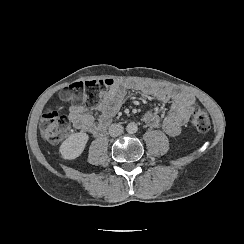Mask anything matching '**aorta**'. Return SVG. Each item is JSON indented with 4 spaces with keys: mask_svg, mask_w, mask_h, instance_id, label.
<instances>
[{
    "mask_svg": "<svg viewBox=\"0 0 244 244\" xmlns=\"http://www.w3.org/2000/svg\"><path fill=\"white\" fill-rule=\"evenodd\" d=\"M126 130L128 133L133 134L136 133L138 130V126L135 122L128 123L126 126Z\"/></svg>",
    "mask_w": 244,
    "mask_h": 244,
    "instance_id": "1",
    "label": "aorta"
}]
</instances>
